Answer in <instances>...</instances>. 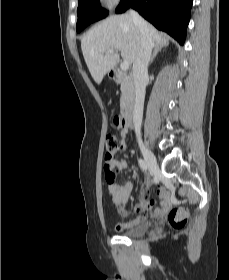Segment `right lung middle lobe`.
Returning a JSON list of instances; mask_svg holds the SVG:
<instances>
[{"mask_svg":"<svg viewBox=\"0 0 229 280\" xmlns=\"http://www.w3.org/2000/svg\"><path fill=\"white\" fill-rule=\"evenodd\" d=\"M77 15L76 29L80 32L90 23L105 18L108 11L101 8L99 0H79Z\"/></svg>","mask_w":229,"mask_h":280,"instance_id":"dd1d6c3e","label":"right lung middle lobe"}]
</instances>
